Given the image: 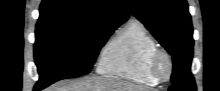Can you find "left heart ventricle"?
I'll return each mask as SVG.
<instances>
[{
    "mask_svg": "<svg viewBox=\"0 0 220 91\" xmlns=\"http://www.w3.org/2000/svg\"><path fill=\"white\" fill-rule=\"evenodd\" d=\"M166 70V68H165V66H163V71H165Z\"/></svg>",
    "mask_w": 220,
    "mask_h": 91,
    "instance_id": "obj_1",
    "label": "left heart ventricle"
}]
</instances>
